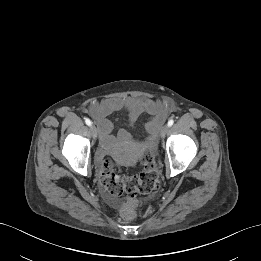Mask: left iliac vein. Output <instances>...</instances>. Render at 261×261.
Here are the masks:
<instances>
[{"instance_id":"1","label":"left iliac vein","mask_w":261,"mask_h":261,"mask_svg":"<svg viewBox=\"0 0 261 261\" xmlns=\"http://www.w3.org/2000/svg\"><path fill=\"white\" fill-rule=\"evenodd\" d=\"M169 131V126L168 125H164L161 130H160V136L162 138H164L166 136V134L168 133Z\"/></svg>"}]
</instances>
